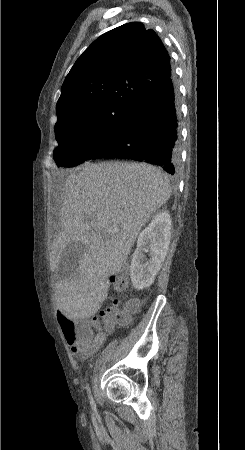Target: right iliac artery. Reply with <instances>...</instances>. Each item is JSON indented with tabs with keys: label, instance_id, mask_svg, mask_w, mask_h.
<instances>
[{
	"label": "right iliac artery",
	"instance_id": "obj_1",
	"mask_svg": "<svg viewBox=\"0 0 245 450\" xmlns=\"http://www.w3.org/2000/svg\"><path fill=\"white\" fill-rule=\"evenodd\" d=\"M88 392H89V398H90L91 406H92V408H95V404H94V401H93L92 395H91V393H90V389H89V387H88Z\"/></svg>",
	"mask_w": 245,
	"mask_h": 450
}]
</instances>
